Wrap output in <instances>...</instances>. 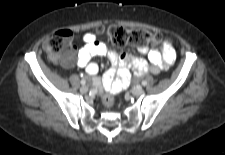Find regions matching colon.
Instances as JSON below:
<instances>
[{"instance_id": "colon-1", "label": "colon", "mask_w": 225, "mask_h": 155, "mask_svg": "<svg viewBox=\"0 0 225 155\" xmlns=\"http://www.w3.org/2000/svg\"><path fill=\"white\" fill-rule=\"evenodd\" d=\"M97 33L108 37L118 47H124L126 45L142 47L149 43L162 45L165 42H169L158 33L146 29H128L117 24L100 27ZM44 49L53 61H74L72 32L67 29L55 32L44 42ZM102 97L104 104H112L113 98L111 92H103Z\"/></svg>"}]
</instances>
